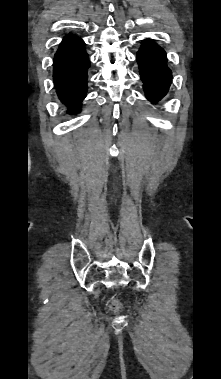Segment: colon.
I'll list each match as a JSON object with an SVG mask.
<instances>
[{
	"mask_svg": "<svg viewBox=\"0 0 221 379\" xmlns=\"http://www.w3.org/2000/svg\"><path fill=\"white\" fill-rule=\"evenodd\" d=\"M110 306H111V308L113 310H117L118 309V304L116 302H112Z\"/></svg>",
	"mask_w": 221,
	"mask_h": 379,
	"instance_id": "5ec220e1",
	"label": "colon"
}]
</instances>
